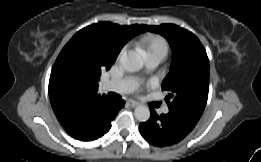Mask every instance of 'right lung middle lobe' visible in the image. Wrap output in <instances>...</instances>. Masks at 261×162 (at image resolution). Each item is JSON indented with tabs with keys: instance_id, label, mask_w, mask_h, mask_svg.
Wrapping results in <instances>:
<instances>
[{
	"instance_id": "1",
	"label": "right lung middle lobe",
	"mask_w": 261,
	"mask_h": 162,
	"mask_svg": "<svg viewBox=\"0 0 261 162\" xmlns=\"http://www.w3.org/2000/svg\"><path fill=\"white\" fill-rule=\"evenodd\" d=\"M87 65L83 60H76L64 54L54 63L51 74L60 86L71 87L79 83L86 75Z\"/></svg>"
}]
</instances>
